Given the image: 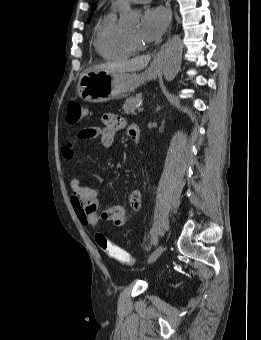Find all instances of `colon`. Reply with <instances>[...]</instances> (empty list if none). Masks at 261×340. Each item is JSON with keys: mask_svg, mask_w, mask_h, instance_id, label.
<instances>
[{"mask_svg": "<svg viewBox=\"0 0 261 340\" xmlns=\"http://www.w3.org/2000/svg\"><path fill=\"white\" fill-rule=\"evenodd\" d=\"M88 114L85 106L78 102H70L67 106L66 120L69 124H77L87 118ZM95 242L104 253L117 262L123 265L134 263V258L129 252L111 242L103 233H96Z\"/></svg>", "mask_w": 261, "mask_h": 340, "instance_id": "obj_1", "label": "colon"}]
</instances>
